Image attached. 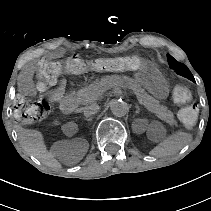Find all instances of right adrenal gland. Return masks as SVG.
<instances>
[{
  "instance_id": "obj_1",
  "label": "right adrenal gland",
  "mask_w": 211,
  "mask_h": 211,
  "mask_svg": "<svg viewBox=\"0 0 211 211\" xmlns=\"http://www.w3.org/2000/svg\"><path fill=\"white\" fill-rule=\"evenodd\" d=\"M92 120H93V118H88V117H85V121H87V122H89V123H91V122H92Z\"/></svg>"
}]
</instances>
